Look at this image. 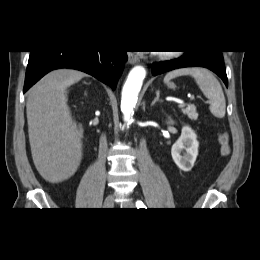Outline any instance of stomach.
I'll return each mask as SVG.
<instances>
[{
    "label": "stomach",
    "instance_id": "1",
    "mask_svg": "<svg viewBox=\"0 0 260 260\" xmlns=\"http://www.w3.org/2000/svg\"><path fill=\"white\" fill-rule=\"evenodd\" d=\"M168 87L173 88L174 85L172 83H168Z\"/></svg>",
    "mask_w": 260,
    "mask_h": 260
}]
</instances>
